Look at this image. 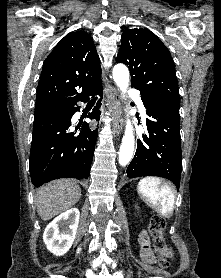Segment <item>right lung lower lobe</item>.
I'll return each instance as SVG.
<instances>
[{
    "label": "right lung lower lobe",
    "instance_id": "obj_1",
    "mask_svg": "<svg viewBox=\"0 0 221 278\" xmlns=\"http://www.w3.org/2000/svg\"><path fill=\"white\" fill-rule=\"evenodd\" d=\"M102 97V83L82 93L54 98L39 105L54 104L58 112L47 115L33 124L29 171L35 187L58 178H88L98 131L90 130L87 123L77 133L71 130V118L79 111L77 102L87 101L89 96ZM100 102L88 118L98 120Z\"/></svg>",
    "mask_w": 221,
    "mask_h": 278
}]
</instances>
